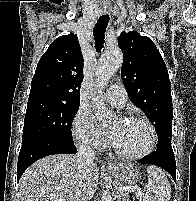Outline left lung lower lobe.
<instances>
[{
    "mask_svg": "<svg viewBox=\"0 0 196 201\" xmlns=\"http://www.w3.org/2000/svg\"><path fill=\"white\" fill-rule=\"evenodd\" d=\"M142 164L156 165L166 170L176 181V162L171 146V138L159 140L157 150L140 160Z\"/></svg>",
    "mask_w": 196,
    "mask_h": 201,
    "instance_id": "1",
    "label": "left lung lower lobe"
}]
</instances>
